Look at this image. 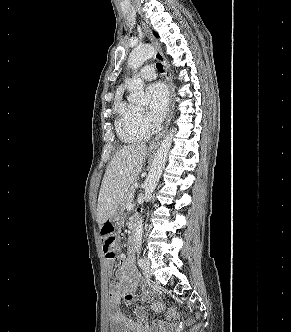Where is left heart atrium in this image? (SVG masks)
Instances as JSON below:
<instances>
[{"mask_svg": "<svg viewBox=\"0 0 291 332\" xmlns=\"http://www.w3.org/2000/svg\"><path fill=\"white\" fill-rule=\"evenodd\" d=\"M150 99L149 118L151 121L160 122L167 111L169 94L166 87L162 83H154L147 89Z\"/></svg>", "mask_w": 291, "mask_h": 332, "instance_id": "obj_1", "label": "left heart atrium"}]
</instances>
